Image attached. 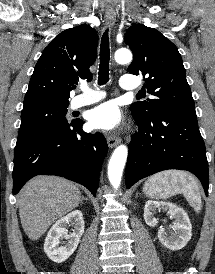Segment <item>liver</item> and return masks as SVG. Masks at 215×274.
<instances>
[{
  "mask_svg": "<svg viewBox=\"0 0 215 274\" xmlns=\"http://www.w3.org/2000/svg\"><path fill=\"white\" fill-rule=\"evenodd\" d=\"M18 197L22 227L33 241L81 201V193L76 185L55 176L35 177L21 189Z\"/></svg>",
  "mask_w": 215,
  "mask_h": 274,
  "instance_id": "6515ba94",
  "label": "liver"
}]
</instances>
